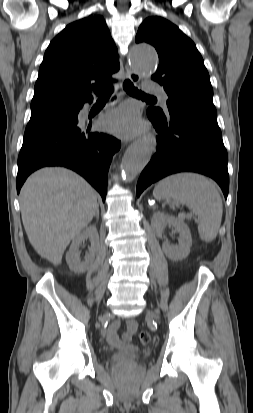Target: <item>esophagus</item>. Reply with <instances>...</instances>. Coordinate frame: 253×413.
I'll use <instances>...</instances> for the list:
<instances>
[{"instance_id":"1","label":"esophagus","mask_w":253,"mask_h":413,"mask_svg":"<svg viewBox=\"0 0 253 413\" xmlns=\"http://www.w3.org/2000/svg\"><path fill=\"white\" fill-rule=\"evenodd\" d=\"M127 74L128 77L130 78V80L134 83H139L140 82V75L138 73H136L135 71L127 68ZM149 137L153 138L152 135H150Z\"/></svg>"}]
</instances>
